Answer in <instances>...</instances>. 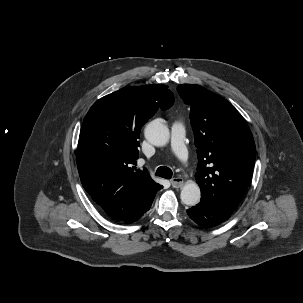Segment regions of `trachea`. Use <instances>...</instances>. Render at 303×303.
<instances>
[{
  "mask_svg": "<svg viewBox=\"0 0 303 303\" xmlns=\"http://www.w3.org/2000/svg\"><path fill=\"white\" fill-rule=\"evenodd\" d=\"M172 175H173L172 170L166 166L158 167V169L156 170V176H159V177H162L165 179H171Z\"/></svg>",
  "mask_w": 303,
  "mask_h": 303,
  "instance_id": "obj_1",
  "label": "trachea"
}]
</instances>
